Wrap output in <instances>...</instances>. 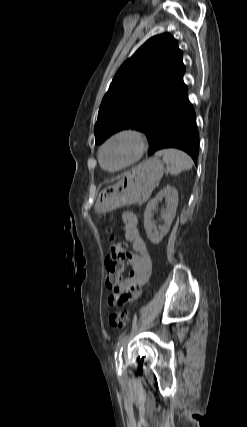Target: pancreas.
Wrapping results in <instances>:
<instances>
[{
  "mask_svg": "<svg viewBox=\"0 0 247 427\" xmlns=\"http://www.w3.org/2000/svg\"><path fill=\"white\" fill-rule=\"evenodd\" d=\"M149 195H150V191L146 192V193L143 195L142 199L138 202V204H142V203H144V202L148 199Z\"/></svg>",
  "mask_w": 247,
  "mask_h": 427,
  "instance_id": "1",
  "label": "pancreas"
}]
</instances>
